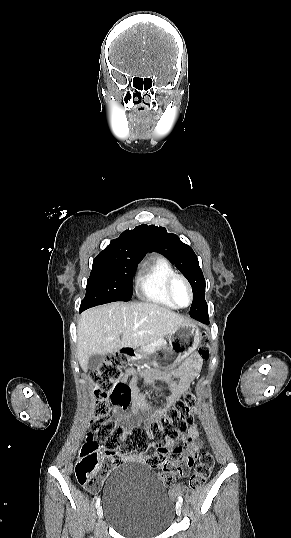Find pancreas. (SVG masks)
I'll return each instance as SVG.
<instances>
[{"label": "pancreas", "mask_w": 291, "mask_h": 538, "mask_svg": "<svg viewBox=\"0 0 291 538\" xmlns=\"http://www.w3.org/2000/svg\"><path fill=\"white\" fill-rule=\"evenodd\" d=\"M165 345L166 344L164 342H162V341H153V342H150L149 344H147L145 346H142L141 351L145 352V353H153L158 348L164 347Z\"/></svg>", "instance_id": "pancreas-1"}]
</instances>
